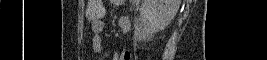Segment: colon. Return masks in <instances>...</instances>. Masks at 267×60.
Wrapping results in <instances>:
<instances>
[{"label": "colon", "mask_w": 267, "mask_h": 60, "mask_svg": "<svg viewBox=\"0 0 267 60\" xmlns=\"http://www.w3.org/2000/svg\"><path fill=\"white\" fill-rule=\"evenodd\" d=\"M104 13L102 0H90L87 7V19L90 23L97 22Z\"/></svg>", "instance_id": "1"}]
</instances>
